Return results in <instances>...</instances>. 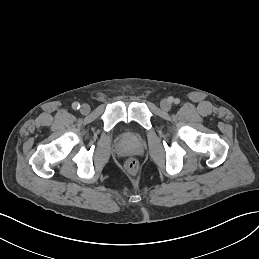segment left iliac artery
I'll return each mask as SVG.
<instances>
[{
  "mask_svg": "<svg viewBox=\"0 0 259 259\" xmlns=\"http://www.w3.org/2000/svg\"><path fill=\"white\" fill-rule=\"evenodd\" d=\"M180 102V100L178 99V98H176L175 100H174V103L175 104H178Z\"/></svg>",
  "mask_w": 259,
  "mask_h": 259,
  "instance_id": "44dca946",
  "label": "left iliac artery"
}]
</instances>
